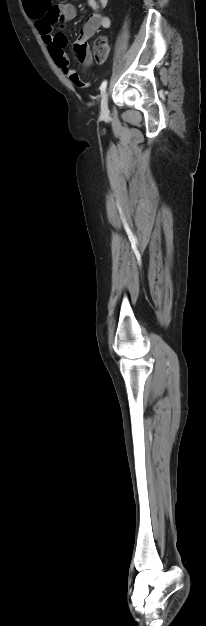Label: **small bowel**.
Here are the masks:
<instances>
[{
  "instance_id": "1",
  "label": "small bowel",
  "mask_w": 206,
  "mask_h": 626,
  "mask_svg": "<svg viewBox=\"0 0 206 626\" xmlns=\"http://www.w3.org/2000/svg\"><path fill=\"white\" fill-rule=\"evenodd\" d=\"M92 13L81 27L78 38L74 42V51L79 61L89 66L92 63V54L88 45V40L101 28L107 29L111 26L108 16L102 15L99 10L105 8L108 0H87ZM25 8L28 15L35 20L36 27L46 44L48 51L66 77L77 87L85 88L89 84L84 82L80 75L70 66L64 48L67 44V37L62 32H54L53 25L60 24L62 27L73 20L76 15V8L70 3L52 5L50 0H27Z\"/></svg>"
}]
</instances>
